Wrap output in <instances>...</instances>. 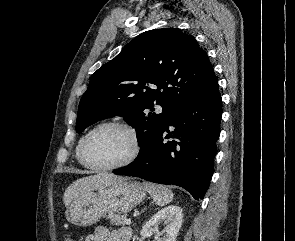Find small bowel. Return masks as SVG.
I'll return each mask as SVG.
<instances>
[{
  "mask_svg": "<svg viewBox=\"0 0 295 241\" xmlns=\"http://www.w3.org/2000/svg\"><path fill=\"white\" fill-rule=\"evenodd\" d=\"M130 238L131 230L128 228L112 230L106 226H97L85 241H130Z\"/></svg>",
  "mask_w": 295,
  "mask_h": 241,
  "instance_id": "c3829d8e",
  "label": "small bowel"
}]
</instances>
